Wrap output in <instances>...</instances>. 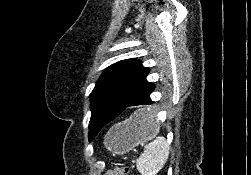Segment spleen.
Returning a JSON list of instances; mask_svg holds the SVG:
<instances>
[{"mask_svg": "<svg viewBox=\"0 0 251 175\" xmlns=\"http://www.w3.org/2000/svg\"><path fill=\"white\" fill-rule=\"evenodd\" d=\"M140 115H146L147 119L152 117V111L139 109ZM169 155V145L165 137H156L144 145V153L136 159V167L141 175H156L162 169Z\"/></svg>", "mask_w": 251, "mask_h": 175, "instance_id": "3e777b00", "label": "spleen"}]
</instances>
